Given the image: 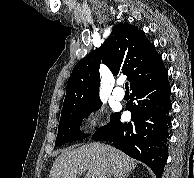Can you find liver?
I'll list each match as a JSON object with an SVG mask.
<instances>
[{
    "mask_svg": "<svg viewBox=\"0 0 194 178\" xmlns=\"http://www.w3.org/2000/svg\"><path fill=\"white\" fill-rule=\"evenodd\" d=\"M136 161L110 145L91 143L64 151L57 157L49 178H104L106 173L121 177L128 174Z\"/></svg>",
    "mask_w": 194,
    "mask_h": 178,
    "instance_id": "liver-1",
    "label": "liver"
}]
</instances>
